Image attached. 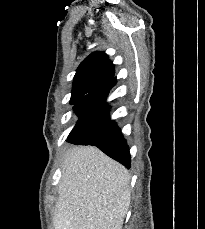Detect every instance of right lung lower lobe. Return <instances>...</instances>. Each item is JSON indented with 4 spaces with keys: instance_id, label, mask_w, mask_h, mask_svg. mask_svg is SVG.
Masks as SVG:
<instances>
[{
    "instance_id": "obj_1",
    "label": "right lung lower lobe",
    "mask_w": 205,
    "mask_h": 229,
    "mask_svg": "<svg viewBox=\"0 0 205 229\" xmlns=\"http://www.w3.org/2000/svg\"><path fill=\"white\" fill-rule=\"evenodd\" d=\"M115 84L116 77H112L75 103L74 112L79 120L69 134L68 142L94 145L130 168L129 148L116 123L110 120L106 105L108 93Z\"/></svg>"
}]
</instances>
